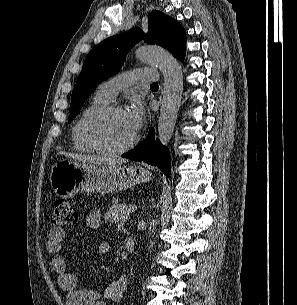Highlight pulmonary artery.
<instances>
[{
    "label": "pulmonary artery",
    "instance_id": "1",
    "mask_svg": "<svg viewBox=\"0 0 297 305\" xmlns=\"http://www.w3.org/2000/svg\"><path fill=\"white\" fill-rule=\"evenodd\" d=\"M156 74L152 69H138L117 74L101 83L98 93L109 101L115 99L118 92L137 82H155Z\"/></svg>",
    "mask_w": 297,
    "mask_h": 305
}]
</instances>
